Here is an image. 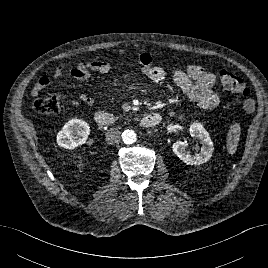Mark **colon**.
I'll list each match as a JSON object with an SVG mask.
<instances>
[{
  "label": "colon",
  "instance_id": "1",
  "mask_svg": "<svg viewBox=\"0 0 268 268\" xmlns=\"http://www.w3.org/2000/svg\"><path fill=\"white\" fill-rule=\"evenodd\" d=\"M219 79L223 89L229 93L241 95L243 100L244 110L252 113L256 109L255 100L251 97V91L246 86L244 81L233 72L222 69L219 72ZM62 106V98L56 95H47L40 97L33 102L34 110L45 116L56 114Z\"/></svg>",
  "mask_w": 268,
  "mask_h": 268
}]
</instances>
